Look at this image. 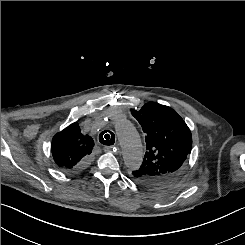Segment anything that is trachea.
Returning <instances> with one entry per match:
<instances>
[{"label": "trachea", "mask_w": 245, "mask_h": 245, "mask_svg": "<svg viewBox=\"0 0 245 245\" xmlns=\"http://www.w3.org/2000/svg\"><path fill=\"white\" fill-rule=\"evenodd\" d=\"M100 143L104 145H113L115 143V135L113 132L105 130L99 135Z\"/></svg>", "instance_id": "3493384b"}]
</instances>
